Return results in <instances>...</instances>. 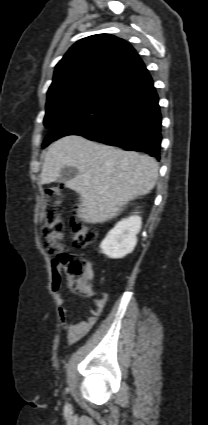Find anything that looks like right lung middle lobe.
Returning <instances> with one entry per match:
<instances>
[{"mask_svg": "<svg viewBox=\"0 0 208 425\" xmlns=\"http://www.w3.org/2000/svg\"><path fill=\"white\" fill-rule=\"evenodd\" d=\"M103 92L104 90L102 89L80 90L47 102L44 125L51 127L58 118L86 107L95 101ZM49 144L50 142L45 139L43 147Z\"/></svg>", "mask_w": 208, "mask_h": 425, "instance_id": "right-lung-middle-lobe-1", "label": "right lung middle lobe"}]
</instances>
